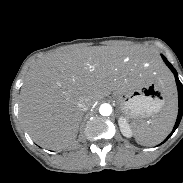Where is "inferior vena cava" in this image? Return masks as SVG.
Listing matches in <instances>:
<instances>
[{
    "label": "inferior vena cava",
    "instance_id": "602c4592",
    "mask_svg": "<svg viewBox=\"0 0 183 183\" xmlns=\"http://www.w3.org/2000/svg\"><path fill=\"white\" fill-rule=\"evenodd\" d=\"M78 107H79L82 111H87L88 108H89L90 106H89V104H88L85 100L81 99V100H79V102H78Z\"/></svg>",
    "mask_w": 183,
    "mask_h": 183
}]
</instances>
